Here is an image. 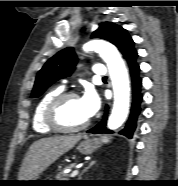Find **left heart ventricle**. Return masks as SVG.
<instances>
[{
	"label": "left heart ventricle",
	"instance_id": "obj_1",
	"mask_svg": "<svg viewBox=\"0 0 178 186\" xmlns=\"http://www.w3.org/2000/svg\"><path fill=\"white\" fill-rule=\"evenodd\" d=\"M57 118L65 127L79 126L89 119L84 112L79 98L67 100L60 107Z\"/></svg>",
	"mask_w": 178,
	"mask_h": 186
}]
</instances>
